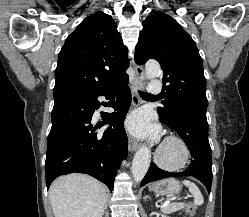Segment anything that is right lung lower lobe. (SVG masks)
<instances>
[{"mask_svg": "<svg viewBox=\"0 0 249 217\" xmlns=\"http://www.w3.org/2000/svg\"><path fill=\"white\" fill-rule=\"evenodd\" d=\"M128 77L98 90H54L52 127L48 136L45 162L46 185L60 175L73 172L93 176L113 189L114 178L122 159L127 156L128 139L123 121L131 103ZM117 101L111 107L116 112L103 115L96 124L94 111L100 107L97 97ZM104 104V103H102ZM112 124L104 132H95Z\"/></svg>", "mask_w": 249, "mask_h": 217, "instance_id": "right-lung-lower-lobe-1", "label": "right lung lower lobe"}]
</instances>
